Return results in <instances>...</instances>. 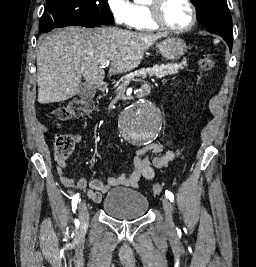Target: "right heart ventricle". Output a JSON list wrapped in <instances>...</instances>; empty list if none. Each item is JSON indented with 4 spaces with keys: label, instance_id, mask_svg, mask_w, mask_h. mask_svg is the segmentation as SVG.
Instances as JSON below:
<instances>
[{
    "label": "right heart ventricle",
    "instance_id": "1",
    "mask_svg": "<svg viewBox=\"0 0 256 267\" xmlns=\"http://www.w3.org/2000/svg\"><path fill=\"white\" fill-rule=\"evenodd\" d=\"M135 6L138 8L142 18L145 20L150 11V0H136ZM143 36H151V35H143Z\"/></svg>",
    "mask_w": 256,
    "mask_h": 267
}]
</instances>
